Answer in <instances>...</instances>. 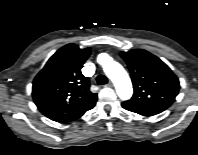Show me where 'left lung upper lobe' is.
I'll return each mask as SVG.
<instances>
[{
  "label": "left lung upper lobe",
  "mask_w": 198,
  "mask_h": 155,
  "mask_svg": "<svg viewBox=\"0 0 198 155\" xmlns=\"http://www.w3.org/2000/svg\"><path fill=\"white\" fill-rule=\"evenodd\" d=\"M120 55L128 65L134 86L132 98L122 106L146 116L166 110L175 101L180 88L170 68L146 50L133 49Z\"/></svg>",
  "instance_id": "left-lung-upper-lobe-1"
}]
</instances>
